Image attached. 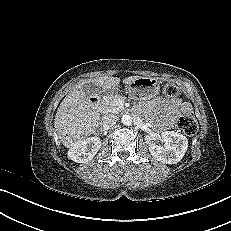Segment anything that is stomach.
<instances>
[{
    "instance_id": "0dacf381",
    "label": "stomach",
    "mask_w": 231,
    "mask_h": 231,
    "mask_svg": "<svg viewBox=\"0 0 231 231\" xmlns=\"http://www.w3.org/2000/svg\"><path fill=\"white\" fill-rule=\"evenodd\" d=\"M159 80L154 77H139L125 86V92L134 100H149L160 91ZM112 90L111 93H114Z\"/></svg>"
}]
</instances>
